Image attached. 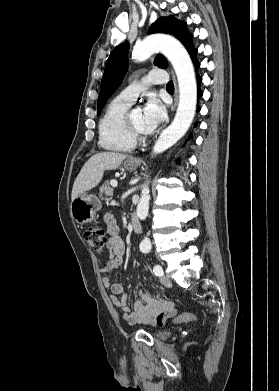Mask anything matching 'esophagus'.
Masks as SVG:
<instances>
[{"instance_id":"34e87169","label":"esophagus","mask_w":279,"mask_h":391,"mask_svg":"<svg viewBox=\"0 0 279 391\" xmlns=\"http://www.w3.org/2000/svg\"><path fill=\"white\" fill-rule=\"evenodd\" d=\"M173 81H174V85H175L174 106L176 107L177 102H178V88H177L176 78L174 75H173Z\"/></svg>"}]
</instances>
